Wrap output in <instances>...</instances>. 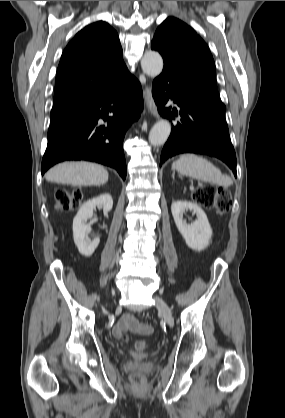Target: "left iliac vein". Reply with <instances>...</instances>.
<instances>
[{
	"label": "left iliac vein",
	"instance_id": "1",
	"mask_svg": "<svg viewBox=\"0 0 285 418\" xmlns=\"http://www.w3.org/2000/svg\"><path fill=\"white\" fill-rule=\"evenodd\" d=\"M156 307L167 322L172 321L171 310L163 299L156 298Z\"/></svg>",
	"mask_w": 285,
	"mask_h": 418
}]
</instances>
